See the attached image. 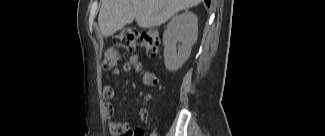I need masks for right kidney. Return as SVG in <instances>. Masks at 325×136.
Returning <instances> with one entry per match:
<instances>
[{
  "instance_id": "obj_1",
  "label": "right kidney",
  "mask_w": 325,
  "mask_h": 136,
  "mask_svg": "<svg viewBox=\"0 0 325 136\" xmlns=\"http://www.w3.org/2000/svg\"><path fill=\"white\" fill-rule=\"evenodd\" d=\"M198 19L192 12L176 15L163 34L164 64L169 71H177L188 59L198 36ZM180 45L177 46V43Z\"/></svg>"
}]
</instances>
